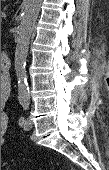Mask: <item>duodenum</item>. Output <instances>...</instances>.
Here are the masks:
<instances>
[{"mask_svg":"<svg viewBox=\"0 0 109 170\" xmlns=\"http://www.w3.org/2000/svg\"><path fill=\"white\" fill-rule=\"evenodd\" d=\"M8 63H9L8 57H7V56H4V57L1 59V66H2V69H3L4 73L6 72ZM8 86H9V80H8L7 78H5L4 81H3V88H4V89H7Z\"/></svg>","mask_w":109,"mask_h":170,"instance_id":"obj_1","label":"duodenum"}]
</instances>
